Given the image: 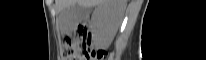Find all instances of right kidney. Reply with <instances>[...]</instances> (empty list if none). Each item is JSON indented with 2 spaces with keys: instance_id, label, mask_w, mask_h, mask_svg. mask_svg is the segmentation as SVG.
I'll list each match as a JSON object with an SVG mask.
<instances>
[{
  "instance_id": "ca27d5eb",
  "label": "right kidney",
  "mask_w": 206,
  "mask_h": 60,
  "mask_svg": "<svg viewBox=\"0 0 206 60\" xmlns=\"http://www.w3.org/2000/svg\"><path fill=\"white\" fill-rule=\"evenodd\" d=\"M123 11V3L118 0H111L96 8L93 14V36L97 46H107L111 42Z\"/></svg>"
}]
</instances>
